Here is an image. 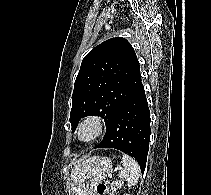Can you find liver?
<instances>
[{
  "label": "liver",
  "mask_w": 211,
  "mask_h": 195,
  "mask_svg": "<svg viewBox=\"0 0 211 195\" xmlns=\"http://www.w3.org/2000/svg\"><path fill=\"white\" fill-rule=\"evenodd\" d=\"M94 157L86 160L76 161L74 168L71 171V195H79L83 185V177L87 170V165L93 160Z\"/></svg>",
  "instance_id": "liver-1"
}]
</instances>
